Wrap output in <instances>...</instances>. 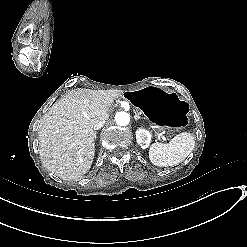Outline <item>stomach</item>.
Returning <instances> with one entry per match:
<instances>
[{
  "instance_id": "obj_1",
  "label": "stomach",
  "mask_w": 247,
  "mask_h": 247,
  "mask_svg": "<svg viewBox=\"0 0 247 247\" xmlns=\"http://www.w3.org/2000/svg\"><path fill=\"white\" fill-rule=\"evenodd\" d=\"M124 97L137 107L159 129L172 134L188 123L189 106L173 91L147 86L127 91Z\"/></svg>"
}]
</instances>
